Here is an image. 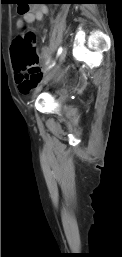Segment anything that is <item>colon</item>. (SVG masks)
Returning <instances> with one entry per match:
<instances>
[{
    "mask_svg": "<svg viewBox=\"0 0 122 257\" xmlns=\"http://www.w3.org/2000/svg\"><path fill=\"white\" fill-rule=\"evenodd\" d=\"M15 10H18L19 14H25L32 10V5H15ZM11 59L17 71L24 72L33 79L39 76V56L33 32L25 31L15 38L11 46Z\"/></svg>",
    "mask_w": 122,
    "mask_h": 257,
    "instance_id": "5ec220e1",
    "label": "colon"
}]
</instances>
